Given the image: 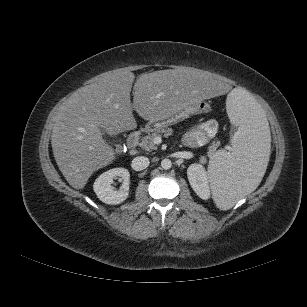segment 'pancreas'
Listing matches in <instances>:
<instances>
[{
    "instance_id": "obj_1",
    "label": "pancreas",
    "mask_w": 307,
    "mask_h": 307,
    "mask_svg": "<svg viewBox=\"0 0 307 307\" xmlns=\"http://www.w3.org/2000/svg\"><path fill=\"white\" fill-rule=\"evenodd\" d=\"M173 133V130L171 128H161V129H158L156 131H154L153 133H149L148 135L144 136L141 138L140 142L138 143V145L144 149V150H155L157 149V146L155 145L154 143V139L157 137V136H164V137H168L170 136L171 134ZM213 152H214V146H211L209 148V152L208 154L210 156L213 155Z\"/></svg>"
}]
</instances>
